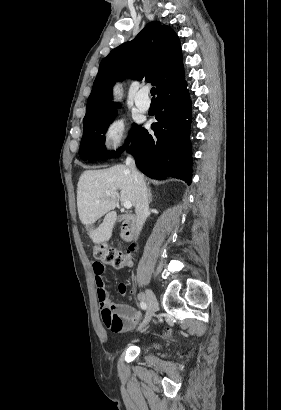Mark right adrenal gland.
<instances>
[{
    "label": "right adrenal gland",
    "mask_w": 281,
    "mask_h": 410,
    "mask_svg": "<svg viewBox=\"0 0 281 410\" xmlns=\"http://www.w3.org/2000/svg\"><path fill=\"white\" fill-rule=\"evenodd\" d=\"M148 195H149V202L151 203V202H152V194H151V190H150V189L148 190Z\"/></svg>",
    "instance_id": "obj_1"
}]
</instances>
